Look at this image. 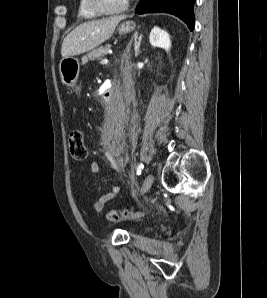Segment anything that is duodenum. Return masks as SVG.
Masks as SVG:
<instances>
[{
  "instance_id": "1",
  "label": "duodenum",
  "mask_w": 267,
  "mask_h": 298,
  "mask_svg": "<svg viewBox=\"0 0 267 298\" xmlns=\"http://www.w3.org/2000/svg\"><path fill=\"white\" fill-rule=\"evenodd\" d=\"M114 86H118L114 81H110L107 90L104 93L103 104H100V109H107V105H110L109 98H112L114 93Z\"/></svg>"
}]
</instances>
